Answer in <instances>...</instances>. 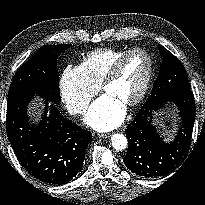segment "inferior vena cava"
I'll list each match as a JSON object with an SVG mask.
<instances>
[{"mask_svg": "<svg viewBox=\"0 0 205 205\" xmlns=\"http://www.w3.org/2000/svg\"><path fill=\"white\" fill-rule=\"evenodd\" d=\"M86 109H87V107H86V106H83V107L77 108V109H76V112L83 114V113L86 112Z\"/></svg>", "mask_w": 205, "mask_h": 205, "instance_id": "602c4592", "label": "inferior vena cava"}]
</instances>
